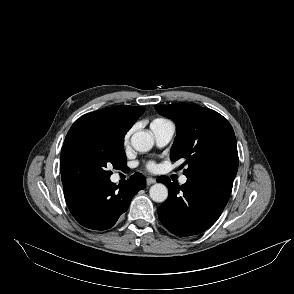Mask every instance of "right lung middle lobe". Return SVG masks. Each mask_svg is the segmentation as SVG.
<instances>
[{"label":"right lung middle lobe","instance_id":"dd1d6c3e","mask_svg":"<svg viewBox=\"0 0 294 294\" xmlns=\"http://www.w3.org/2000/svg\"><path fill=\"white\" fill-rule=\"evenodd\" d=\"M124 136L96 128L68 133L61 150L63 187L109 179L110 169L125 168Z\"/></svg>","mask_w":294,"mask_h":294}]
</instances>
